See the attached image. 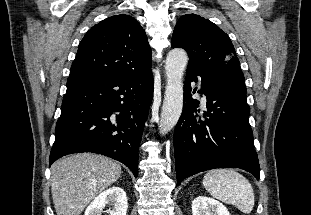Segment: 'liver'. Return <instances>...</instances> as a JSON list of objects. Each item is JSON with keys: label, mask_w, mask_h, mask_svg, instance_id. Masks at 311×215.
I'll use <instances>...</instances> for the list:
<instances>
[{"label": "liver", "mask_w": 311, "mask_h": 215, "mask_svg": "<svg viewBox=\"0 0 311 215\" xmlns=\"http://www.w3.org/2000/svg\"><path fill=\"white\" fill-rule=\"evenodd\" d=\"M121 166L102 155L80 153L51 166V191L57 215H80L121 176Z\"/></svg>", "instance_id": "1"}]
</instances>
